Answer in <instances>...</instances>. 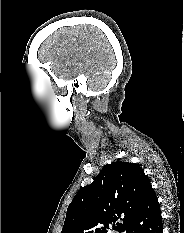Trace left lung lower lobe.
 <instances>
[{"label":"left lung lower lobe","instance_id":"left-lung-lower-lobe-1","mask_svg":"<svg viewBox=\"0 0 184 233\" xmlns=\"http://www.w3.org/2000/svg\"><path fill=\"white\" fill-rule=\"evenodd\" d=\"M162 216L157 196L152 190L134 217L127 233H162Z\"/></svg>","mask_w":184,"mask_h":233}]
</instances>
